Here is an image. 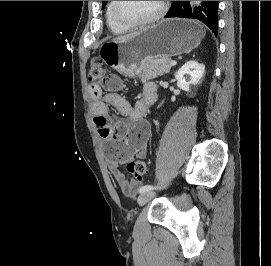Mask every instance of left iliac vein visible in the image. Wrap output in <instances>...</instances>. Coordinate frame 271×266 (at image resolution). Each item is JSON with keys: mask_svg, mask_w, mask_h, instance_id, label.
<instances>
[{"mask_svg": "<svg viewBox=\"0 0 271 266\" xmlns=\"http://www.w3.org/2000/svg\"><path fill=\"white\" fill-rule=\"evenodd\" d=\"M153 196L154 194L152 192H144L138 197L137 202L140 206H143L149 202Z\"/></svg>", "mask_w": 271, "mask_h": 266, "instance_id": "obj_1", "label": "left iliac vein"}]
</instances>
